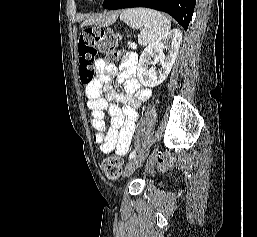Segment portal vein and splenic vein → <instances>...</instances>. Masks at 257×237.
<instances>
[{"mask_svg": "<svg viewBox=\"0 0 257 237\" xmlns=\"http://www.w3.org/2000/svg\"><path fill=\"white\" fill-rule=\"evenodd\" d=\"M130 47H131L132 49H135V48L137 47V45H136L135 43H130Z\"/></svg>", "mask_w": 257, "mask_h": 237, "instance_id": "18ae733b", "label": "portal vein and splenic vein"}]
</instances>
